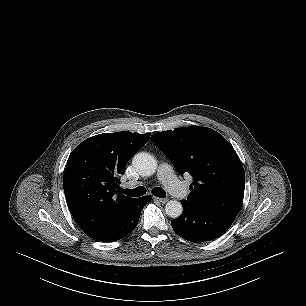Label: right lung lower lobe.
I'll return each instance as SVG.
<instances>
[{
    "mask_svg": "<svg viewBox=\"0 0 306 306\" xmlns=\"http://www.w3.org/2000/svg\"><path fill=\"white\" fill-rule=\"evenodd\" d=\"M150 201V195L135 199L117 224L112 229L95 239L111 242L128 235L137 226L142 208Z\"/></svg>",
    "mask_w": 306,
    "mask_h": 306,
    "instance_id": "1",
    "label": "right lung lower lobe"
}]
</instances>
